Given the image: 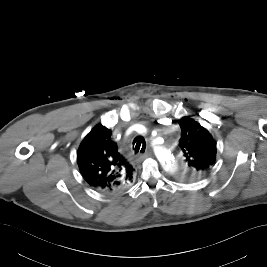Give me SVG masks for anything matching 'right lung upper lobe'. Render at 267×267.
Here are the masks:
<instances>
[{"mask_svg":"<svg viewBox=\"0 0 267 267\" xmlns=\"http://www.w3.org/2000/svg\"><path fill=\"white\" fill-rule=\"evenodd\" d=\"M77 163L86 182L105 193L127 190L134 179V169L117 151L111 131L98 124L82 141Z\"/></svg>","mask_w":267,"mask_h":267,"instance_id":"cb5924a9","label":"right lung upper lobe"}]
</instances>
